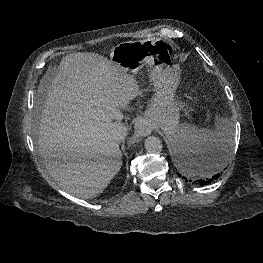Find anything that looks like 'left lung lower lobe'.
Returning <instances> with one entry per match:
<instances>
[{
	"label": "left lung lower lobe",
	"instance_id": "1",
	"mask_svg": "<svg viewBox=\"0 0 263 263\" xmlns=\"http://www.w3.org/2000/svg\"><path fill=\"white\" fill-rule=\"evenodd\" d=\"M223 151V146L220 144H208L196 152L176 149L175 161L178 176L194 185L210 184L220 176V173L213 170V166L219 162Z\"/></svg>",
	"mask_w": 263,
	"mask_h": 263
}]
</instances>
